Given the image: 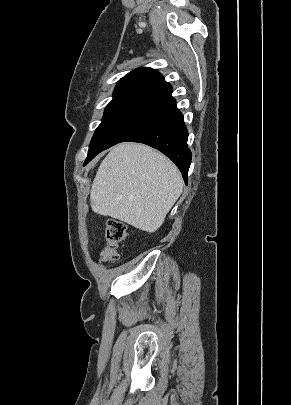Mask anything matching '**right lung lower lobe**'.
I'll return each instance as SVG.
<instances>
[{
	"label": "right lung lower lobe",
	"instance_id": "right-lung-lower-lobe-1",
	"mask_svg": "<svg viewBox=\"0 0 291 405\" xmlns=\"http://www.w3.org/2000/svg\"><path fill=\"white\" fill-rule=\"evenodd\" d=\"M187 140L188 131L183 115L174 104L167 114L124 142L144 143L161 151L178 166L187 184L192 159Z\"/></svg>",
	"mask_w": 291,
	"mask_h": 405
}]
</instances>
